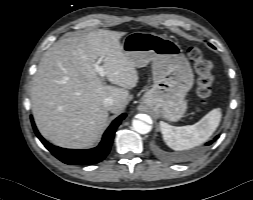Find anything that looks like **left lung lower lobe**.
<instances>
[{
    "mask_svg": "<svg viewBox=\"0 0 253 200\" xmlns=\"http://www.w3.org/2000/svg\"><path fill=\"white\" fill-rule=\"evenodd\" d=\"M218 137H219V136H216V137L214 138V140L217 139ZM211 143H212V141L207 142L205 145L208 146V145H210Z\"/></svg>",
    "mask_w": 253,
    "mask_h": 200,
    "instance_id": "obj_1",
    "label": "left lung lower lobe"
}]
</instances>
